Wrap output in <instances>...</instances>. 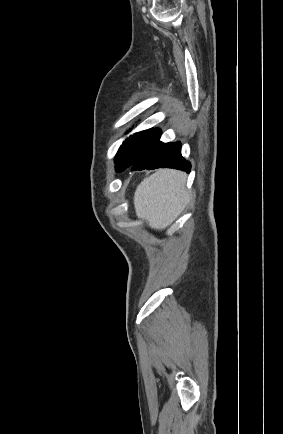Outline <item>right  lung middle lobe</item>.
<instances>
[{"label": "right lung middle lobe", "instance_id": "right-lung-middle-lobe-1", "mask_svg": "<svg viewBox=\"0 0 283 434\" xmlns=\"http://www.w3.org/2000/svg\"><path fill=\"white\" fill-rule=\"evenodd\" d=\"M161 131L159 129H148L127 138L119 148L115 163L116 170L121 172L137 162L142 155L159 141Z\"/></svg>", "mask_w": 283, "mask_h": 434}]
</instances>
